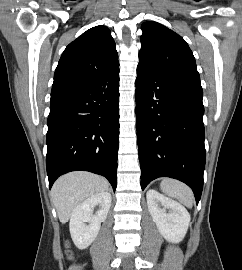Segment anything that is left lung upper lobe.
<instances>
[{
	"label": "left lung upper lobe",
	"mask_w": 242,
	"mask_h": 270,
	"mask_svg": "<svg viewBox=\"0 0 242 270\" xmlns=\"http://www.w3.org/2000/svg\"><path fill=\"white\" fill-rule=\"evenodd\" d=\"M141 29L139 66L202 89L195 58L182 37L154 21L143 23Z\"/></svg>",
	"instance_id": "5c2ea615"
}]
</instances>
